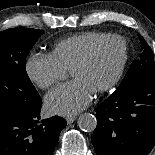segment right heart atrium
<instances>
[{"mask_svg": "<svg viewBox=\"0 0 155 155\" xmlns=\"http://www.w3.org/2000/svg\"><path fill=\"white\" fill-rule=\"evenodd\" d=\"M25 68L31 82L41 89L56 85L65 74V70L51 54H31Z\"/></svg>", "mask_w": 155, "mask_h": 155, "instance_id": "obj_1", "label": "right heart atrium"}]
</instances>
